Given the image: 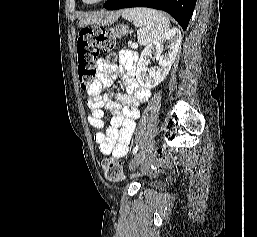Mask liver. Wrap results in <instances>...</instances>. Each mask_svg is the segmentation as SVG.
<instances>
[{"label": "liver", "instance_id": "liver-1", "mask_svg": "<svg viewBox=\"0 0 257 237\" xmlns=\"http://www.w3.org/2000/svg\"><path fill=\"white\" fill-rule=\"evenodd\" d=\"M120 16V12L111 14H94L85 19H82L79 23L80 26L88 23H102L109 24L115 22Z\"/></svg>", "mask_w": 257, "mask_h": 237}]
</instances>
